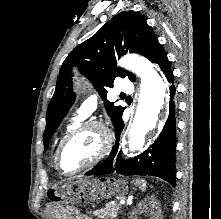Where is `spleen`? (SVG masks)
I'll return each instance as SVG.
<instances>
[{
	"label": "spleen",
	"mask_w": 221,
	"mask_h": 219,
	"mask_svg": "<svg viewBox=\"0 0 221 219\" xmlns=\"http://www.w3.org/2000/svg\"><path fill=\"white\" fill-rule=\"evenodd\" d=\"M137 184H139L140 188L144 191L146 189V182L144 180H138Z\"/></svg>",
	"instance_id": "1"
}]
</instances>
